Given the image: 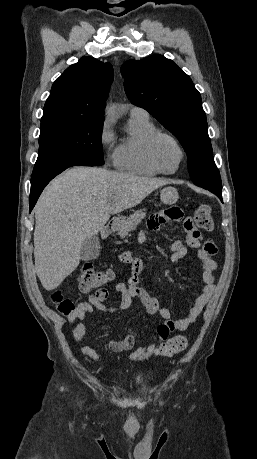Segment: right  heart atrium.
Listing matches in <instances>:
<instances>
[{
	"label": "right heart atrium",
	"mask_w": 257,
	"mask_h": 459,
	"mask_svg": "<svg viewBox=\"0 0 257 459\" xmlns=\"http://www.w3.org/2000/svg\"><path fill=\"white\" fill-rule=\"evenodd\" d=\"M99 141L103 148L109 147L113 142V132L109 121H105L99 134Z\"/></svg>",
	"instance_id": "right-heart-atrium-1"
}]
</instances>
